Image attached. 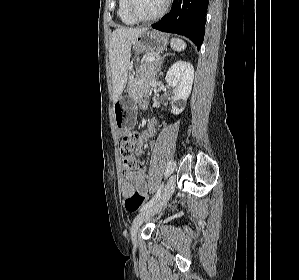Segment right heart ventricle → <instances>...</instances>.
Masks as SVG:
<instances>
[{"label":"right heart ventricle","mask_w":299,"mask_h":280,"mask_svg":"<svg viewBox=\"0 0 299 280\" xmlns=\"http://www.w3.org/2000/svg\"><path fill=\"white\" fill-rule=\"evenodd\" d=\"M117 14L121 22L125 25H134L137 22L134 21L126 10V0H118V11Z\"/></svg>","instance_id":"obj_1"}]
</instances>
